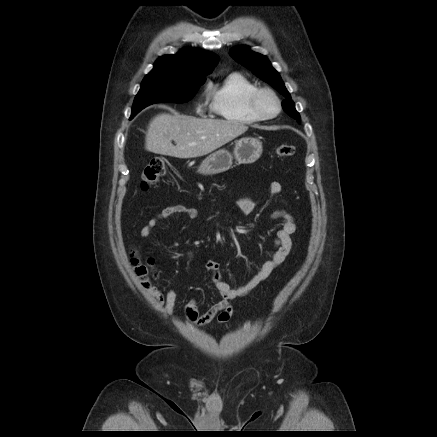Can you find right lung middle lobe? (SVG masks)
I'll return each instance as SVG.
<instances>
[{
	"label": "right lung middle lobe",
	"instance_id": "obj_1",
	"mask_svg": "<svg viewBox=\"0 0 437 437\" xmlns=\"http://www.w3.org/2000/svg\"><path fill=\"white\" fill-rule=\"evenodd\" d=\"M205 79L185 81L165 73H149L141 83L135 97L131 118L154 103H185L192 99Z\"/></svg>",
	"mask_w": 437,
	"mask_h": 437
}]
</instances>
